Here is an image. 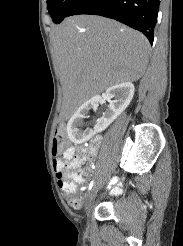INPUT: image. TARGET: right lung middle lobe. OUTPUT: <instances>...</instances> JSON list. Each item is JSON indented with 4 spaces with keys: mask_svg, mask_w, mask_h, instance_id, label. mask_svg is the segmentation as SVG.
Segmentation results:
<instances>
[{
    "mask_svg": "<svg viewBox=\"0 0 183 246\" xmlns=\"http://www.w3.org/2000/svg\"><path fill=\"white\" fill-rule=\"evenodd\" d=\"M78 0H47L48 12L53 22L59 24Z\"/></svg>",
    "mask_w": 183,
    "mask_h": 246,
    "instance_id": "dd1d6c3e",
    "label": "right lung middle lobe"
}]
</instances>
